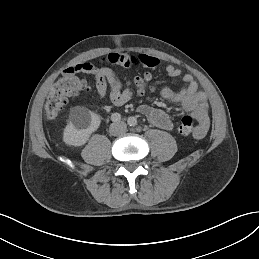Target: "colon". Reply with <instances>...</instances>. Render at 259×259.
Instances as JSON below:
<instances>
[{
  "label": "colon",
  "mask_w": 259,
  "mask_h": 259,
  "mask_svg": "<svg viewBox=\"0 0 259 259\" xmlns=\"http://www.w3.org/2000/svg\"><path fill=\"white\" fill-rule=\"evenodd\" d=\"M149 76L143 75L130 81V85L142 94L149 85ZM88 84L85 80L78 78L74 73L63 74L51 87L46 103L45 113L49 120H56L65 109L68 99L83 96L88 91ZM197 126L191 116L182 117L179 125V132L183 135H194Z\"/></svg>",
  "instance_id": "colon-1"
}]
</instances>
